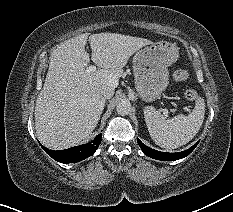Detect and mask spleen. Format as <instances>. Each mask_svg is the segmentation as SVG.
Instances as JSON below:
<instances>
[{
	"instance_id": "spleen-1",
	"label": "spleen",
	"mask_w": 233,
	"mask_h": 212,
	"mask_svg": "<svg viewBox=\"0 0 233 212\" xmlns=\"http://www.w3.org/2000/svg\"><path fill=\"white\" fill-rule=\"evenodd\" d=\"M205 115L204 99L199 97L188 116L166 119L152 106L144 108L145 122L149 134L156 145L175 149L185 145L199 132Z\"/></svg>"
}]
</instances>
